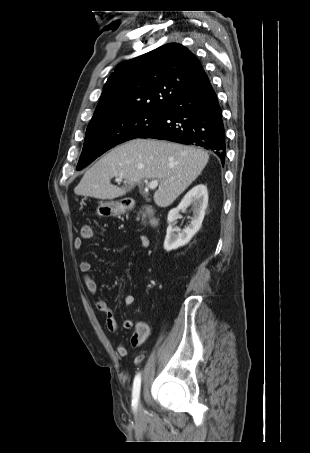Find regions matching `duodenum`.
<instances>
[{
	"label": "duodenum",
	"instance_id": "duodenum-1",
	"mask_svg": "<svg viewBox=\"0 0 310 453\" xmlns=\"http://www.w3.org/2000/svg\"><path fill=\"white\" fill-rule=\"evenodd\" d=\"M145 216L151 226H155L157 224V220L154 216V212L150 208H146L145 210Z\"/></svg>",
	"mask_w": 310,
	"mask_h": 453
}]
</instances>
